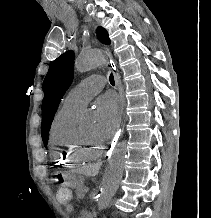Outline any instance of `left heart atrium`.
Listing matches in <instances>:
<instances>
[{
    "mask_svg": "<svg viewBox=\"0 0 211 218\" xmlns=\"http://www.w3.org/2000/svg\"><path fill=\"white\" fill-rule=\"evenodd\" d=\"M97 114L96 129L101 139L111 138L118 129L120 123V107L113 93H105L95 101Z\"/></svg>",
    "mask_w": 211,
    "mask_h": 218,
    "instance_id": "left-heart-atrium-1",
    "label": "left heart atrium"
}]
</instances>
